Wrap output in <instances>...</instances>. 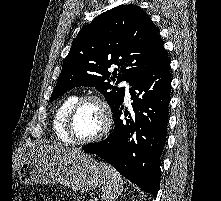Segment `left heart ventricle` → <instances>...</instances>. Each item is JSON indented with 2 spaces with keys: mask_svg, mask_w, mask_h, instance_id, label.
<instances>
[{
  "mask_svg": "<svg viewBox=\"0 0 221 201\" xmlns=\"http://www.w3.org/2000/svg\"><path fill=\"white\" fill-rule=\"evenodd\" d=\"M103 127V113L94 101L81 105L73 120V133L78 139H88L100 132Z\"/></svg>",
  "mask_w": 221,
  "mask_h": 201,
  "instance_id": "left-heart-ventricle-1",
  "label": "left heart ventricle"
}]
</instances>
